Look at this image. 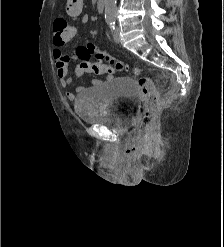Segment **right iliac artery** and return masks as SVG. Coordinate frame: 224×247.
Listing matches in <instances>:
<instances>
[{
    "instance_id": "right-iliac-artery-1",
    "label": "right iliac artery",
    "mask_w": 224,
    "mask_h": 247,
    "mask_svg": "<svg viewBox=\"0 0 224 247\" xmlns=\"http://www.w3.org/2000/svg\"><path fill=\"white\" fill-rule=\"evenodd\" d=\"M110 22H111V19H108V20H107V23L110 24Z\"/></svg>"
}]
</instances>
